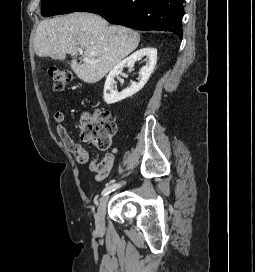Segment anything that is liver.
Instances as JSON below:
<instances>
[{
	"mask_svg": "<svg viewBox=\"0 0 255 272\" xmlns=\"http://www.w3.org/2000/svg\"><path fill=\"white\" fill-rule=\"evenodd\" d=\"M140 34L113 25L93 13L75 12L42 20L36 30L34 50L39 57L65 59L72 56L73 72L86 83L100 81L122 59L136 49ZM90 62L78 63V50Z\"/></svg>",
	"mask_w": 255,
	"mask_h": 272,
	"instance_id": "1",
	"label": "liver"
}]
</instances>
